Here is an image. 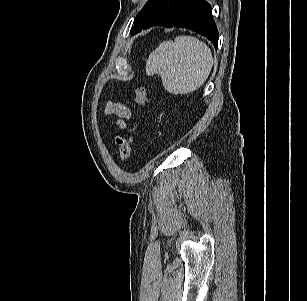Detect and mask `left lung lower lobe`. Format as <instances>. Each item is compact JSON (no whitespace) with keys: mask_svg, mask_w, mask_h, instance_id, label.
<instances>
[{"mask_svg":"<svg viewBox=\"0 0 307 301\" xmlns=\"http://www.w3.org/2000/svg\"><path fill=\"white\" fill-rule=\"evenodd\" d=\"M154 25L168 28L182 27L196 31L206 36L217 48L219 33L213 20L211 6L205 0H179L163 18L152 26Z\"/></svg>","mask_w":307,"mask_h":301,"instance_id":"0a47b994","label":"left lung lower lobe"}]
</instances>
